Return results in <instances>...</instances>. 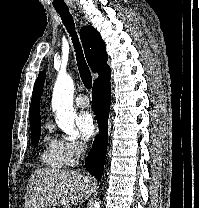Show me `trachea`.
Masks as SVG:
<instances>
[{
	"label": "trachea",
	"mask_w": 199,
	"mask_h": 208,
	"mask_svg": "<svg viewBox=\"0 0 199 208\" xmlns=\"http://www.w3.org/2000/svg\"><path fill=\"white\" fill-rule=\"evenodd\" d=\"M56 11L60 14L61 19L64 25L66 26V29L68 30L70 36L72 37L73 46L76 52L77 66H78V70H79L82 82L87 89H91L92 76L90 73V69L85 61L81 45L78 41L77 33L75 32V23H74L73 17L70 14L68 8L56 9Z\"/></svg>",
	"instance_id": "obj_1"
}]
</instances>
